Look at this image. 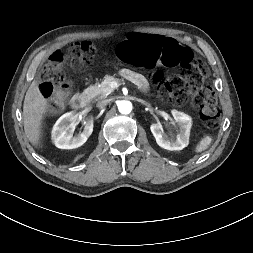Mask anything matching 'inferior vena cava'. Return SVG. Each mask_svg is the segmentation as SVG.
<instances>
[{
    "label": "inferior vena cava",
    "mask_w": 253,
    "mask_h": 253,
    "mask_svg": "<svg viewBox=\"0 0 253 253\" xmlns=\"http://www.w3.org/2000/svg\"><path fill=\"white\" fill-rule=\"evenodd\" d=\"M108 103H109V100H107V99L102 100V101H99V102L97 103V107L103 108V107H105Z\"/></svg>",
    "instance_id": "1"
}]
</instances>
